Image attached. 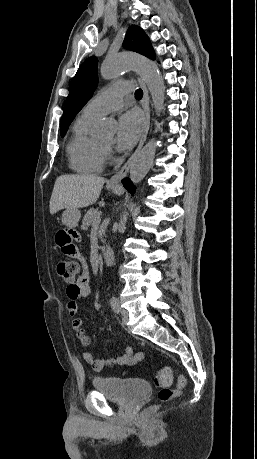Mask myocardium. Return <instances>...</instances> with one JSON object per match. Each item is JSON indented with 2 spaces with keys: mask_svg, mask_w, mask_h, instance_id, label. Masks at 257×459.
I'll use <instances>...</instances> for the list:
<instances>
[{
  "mask_svg": "<svg viewBox=\"0 0 257 459\" xmlns=\"http://www.w3.org/2000/svg\"><path fill=\"white\" fill-rule=\"evenodd\" d=\"M101 145H102V147H103L105 150L109 149V146L104 145V144H101Z\"/></svg>",
  "mask_w": 257,
  "mask_h": 459,
  "instance_id": "myocardium-1",
  "label": "myocardium"
}]
</instances>
